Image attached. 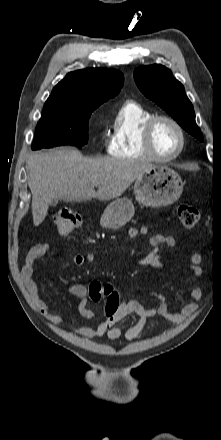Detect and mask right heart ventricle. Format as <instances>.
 <instances>
[{"label":"right heart ventricle","mask_w":221,"mask_h":440,"mask_svg":"<svg viewBox=\"0 0 221 440\" xmlns=\"http://www.w3.org/2000/svg\"><path fill=\"white\" fill-rule=\"evenodd\" d=\"M151 116L153 113L139 102H123L109 136V155L120 159H151L142 141L143 125Z\"/></svg>","instance_id":"right-heart-ventricle-1"}]
</instances>
